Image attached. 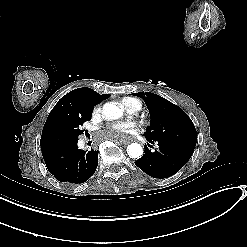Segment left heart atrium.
<instances>
[{
	"mask_svg": "<svg viewBox=\"0 0 247 247\" xmlns=\"http://www.w3.org/2000/svg\"><path fill=\"white\" fill-rule=\"evenodd\" d=\"M134 134L136 133V127L134 125ZM104 144L112 143L116 145L128 144L126 132L118 125V123H112L101 129Z\"/></svg>",
	"mask_w": 247,
	"mask_h": 247,
	"instance_id": "left-heart-atrium-1",
	"label": "left heart atrium"
}]
</instances>
